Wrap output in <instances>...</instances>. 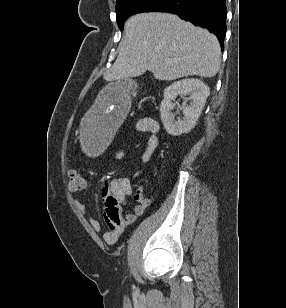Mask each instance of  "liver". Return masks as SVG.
<instances>
[{"label": "liver", "instance_id": "liver-1", "mask_svg": "<svg viewBox=\"0 0 286 308\" xmlns=\"http://www.w3.org/2000/svg\"><path fill=\"white\" fill-rule=\"evenodd\" d=\"M215 35L168 13H142L125 24V39L107 81L150 71L158 80L196 75L214 77L220 68Z\"/></svg>", "mask_w": 286, "mask_h": 308}]
</instances>
